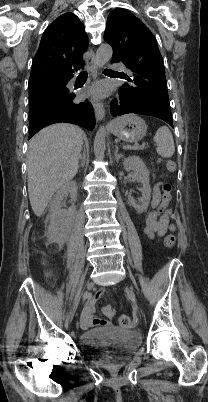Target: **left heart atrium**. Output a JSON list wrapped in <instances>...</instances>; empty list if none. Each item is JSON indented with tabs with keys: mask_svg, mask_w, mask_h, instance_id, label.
Segmentation results:
<instances>
[{
	"mask_svg": "<svg viewBox=\"0 0 208 402\" xmlns=\"http://www.w3.org/2000/svg\"><path fill=\"white\" fill-rule=\"evenodd\" d=\"M109 91V86L105 82H98L94 84L88 94L93 96V97H103L105 96Z\"/></svg>",
	"mask_w": 208,
	"mask_h": 402,
	"instance_id": "39dd6f15",
	"label": "left heart atrium"
}]
</instances>
